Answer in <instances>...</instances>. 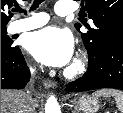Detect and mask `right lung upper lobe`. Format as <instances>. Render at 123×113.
Here are the masks:
<instances>
[{
  "mask_svg": "<svg viewBox=\"0 0 123 113\" xmlns=\"http://www.w3.org/2000/svg\"><path fill=\"white\" fill-rule=\"evenodd\" d=\"M16 4L15 0H1V27H6L13 14L10 9Z\"/></svg>",
  "mask_w": 123,
  "mask_h": 113,
  "instance_id": "right-lung-upper-lobe-1",
  "label": "right lung upper lobe"
}]
</instances>
